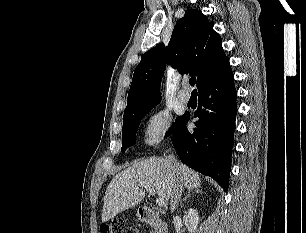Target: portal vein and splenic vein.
<instances>
[{
    "label": "portal vein and splenic vein",
    "instance_id": "1",
    "mask_svg": "<svg viewBox=\"0 0 306 233\" xmlns=\"http://www.w3.org/2000/svg\"><path fill=\"white\" fill-rule=\"evenodd\" d=\"M142 188H145L149 194L151 195H155V189L153 186L149 185V184H140L139 185ZM156 204L158 206H164L165 205V200L163 198H157L156 199Z\"/></svg>",
    "mask_w": 306,
    "mask_h": 233
}]
</instances>
